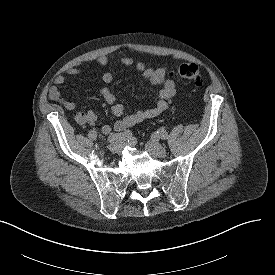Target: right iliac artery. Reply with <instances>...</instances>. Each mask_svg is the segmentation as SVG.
Listing matches in <instances>:
<instances>
[{"instance_id":"1","label":"right iliac artery","mask_w":275,"mask_h":275,"mask_svg":"<svg viewBox=\"0 0 275 275\" xmlns=\"http://www.w3.org/2000/svg\"><path fill=\"white\" fill-rule=\"evenodd\" d=\"M132 136V132L130 130H126L122 133L118 134H111L108 138L109 142H119V141H126L129 140ZM88 137L91 140H96L97 139V132L95 130H91L88 134Z\"/></svg>"}]
</instances>
